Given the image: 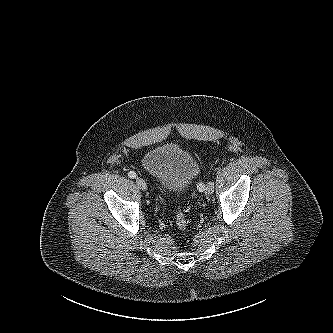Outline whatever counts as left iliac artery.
<instances>
[{
	"mask_svg": "<svg viewBox=\"0 0 333 333\" xmlns=\"http://www.w3.org/2000/svg\"><path fill=\"white\" fill-rule=\"evenodd\" d=\"M197 188L200 192L205 191V185L202 182L198 183Z\"/></svg>",
	"mask_w": 333,
	"mask_h": 333,
	"instance_id": "44dca946",
	"label": "left iliac artery"
}]
</instances>
